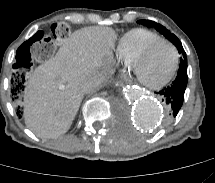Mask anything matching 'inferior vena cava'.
<instances>
[{"mask_svg": "<svg viewBox=\"0 0 215 183\" xmlns=\"http://www.w3.org/2000/svg\"><path fill=\"white\" fill-rule=\"evenodd\" d=\"M103 82V78L96 81H85L81 85V90L83 93H92L95 92Z\"/></svg>", "mask_w": 215, "mask_h": 183, "instance_id": "inferior-vena-cava-1", "label": "inferior vena cava"}]
</instances>
